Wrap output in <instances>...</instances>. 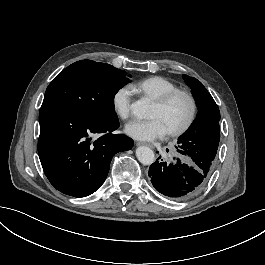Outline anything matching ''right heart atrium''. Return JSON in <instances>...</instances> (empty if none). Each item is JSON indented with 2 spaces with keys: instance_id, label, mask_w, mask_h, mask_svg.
I'll use <instances>...</instances> for the list:
<instances>
[{
  "instance_id": "d8ad5b80",
  "label": "right heart atrium",
  "mask_w": 265,
  "mask_h": 265,
  "mask_svg": "<svg viewBox=\"0 0 265 265\" xmlns=\"http://www.w3.org/2000/svg\"><path fill=\"white\" fill-rule=\"evenodd\" d=\"M109 102L119 122L127 123L130 121L131 109L136 104V101L132 98L131 92L127 87H118L115 93L110 96Z\"/></svg>"
}]
</instances>
